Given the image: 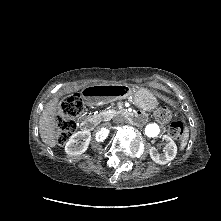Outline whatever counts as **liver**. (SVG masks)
<instances>
[{
	"label": "liver",
	"instance_id": "1",
	"mask_svg": "<svg viewBox=\"0 0 221 221\" xmlns=\"http://www.w3.org/2000/svg\"><path fill=\"white\" fill-rule=\"evenodd\" d=\"M57 102L58 97H54L50 100L44 110L41 113L39 118V133L41 136L42 141L50 146H56V113H57Z\"/></svg>",
	"mask_w": 221,
	"mask_h": 221
}]
</instances>
